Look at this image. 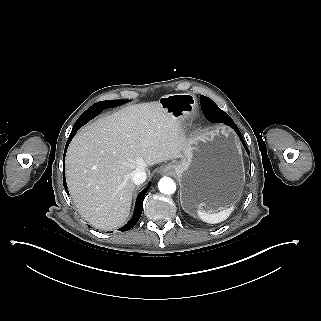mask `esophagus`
Masks as SVG:
<instances>
[{
	"instance_id": "34e87169",
	"label": "esophagus",
	"mask_w": 321,
	"mask_h": 321,
	"mask_svg": "<svg viewBox=\"0 0 321 321\" xmlns=\"http://www.w3.org/2000/svg\"><path fill=\"white\" fill-rule=\"evenodd\" d=\"M175 171V167L172 164H168L165 166H162L158 172L165 173V174H173Z\"/></svg>"
}]
</instances>
